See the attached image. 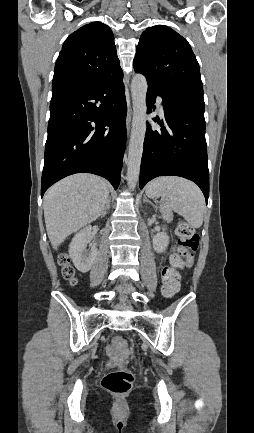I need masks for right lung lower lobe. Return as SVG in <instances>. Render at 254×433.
Listing matches in <instances>:
<instances>
[{"label":"right lung lower lobe","mask_w":254,"mask_h":433,"mask_svg":"<svg viewBox=\"0 0 254 433\" xmlns=\"http://www.w3.org/2000/svg\"><path fill=\"white\" fill-rule=\"evenodd\" d=\"M122 77L52 91L41 196L58 180L80 172L102 176L118 188L127 112Z\"/></svg>","instance_id":"obj_1"}]
</instances>
